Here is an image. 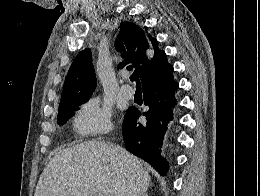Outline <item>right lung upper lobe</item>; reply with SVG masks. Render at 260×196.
<instances>
[{"label":"right lung upper lobe","mask_w":260,"mask_h":196,"mask_svg":"<svg viewBox=\"0 0 260 196\" xmlns=\"http://www.w3.org/2000/svg\"><path fill=\"white\" fill-rule=\"evenodd\" d=\"M148 37L135 23L122 22L115 41V49L123 58L119 67L129 65L135 68L142 84L157 80L173 70V66L167 63L165 52L158 48L156 39ZM95 87L91 51L87 48L77 55L68 71L59 110L73 101L91 96Z\"/></svg>","instance_id":"right-lung-upper-lobe-1"}]
</instances>
